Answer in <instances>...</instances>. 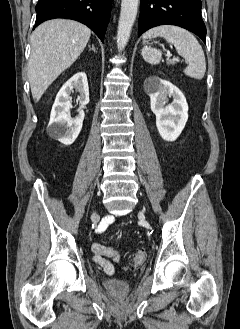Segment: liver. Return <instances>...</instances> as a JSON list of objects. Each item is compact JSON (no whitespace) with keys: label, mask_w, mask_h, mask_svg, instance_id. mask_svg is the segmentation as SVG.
<instances>
[{"label":"liver","mask_w":240,"mask_h":329,"mask_svg":"<svg viewBox=\"0 0 240 329\" xmlns=\"http://www.w3.org/2000/svg\"><path fill=\"white\" fill-rule=\"evenodd\" d=\"M91 31L72 20L54 19L39 25L31 37L28 78L38 102L47 88L85 49Z\"/></svg>","instance_id":"liver-1"}]
</instances>
